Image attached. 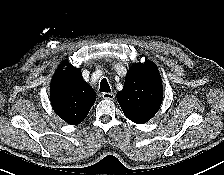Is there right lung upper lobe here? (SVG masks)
<instances>
[{"mask_svg": "<svg viewBox=\"0 0 224 175\" xmlns=\"http://www.w3.org/2000/svg\"><path fill=\"white\" fill-rule=\"evenodd\" d=\"M65 65L67 68L63 70ZM50 100L56 114L68 124L75 125L86 118L96 94L82 79L80 69L64 61L52 78Z\"/></svg>", "mask_w": 224, "mask_h": 175, "instance_id": "right-lung-upper-lobe-1", "label": "right lung upper lobe"}]
</instances>
